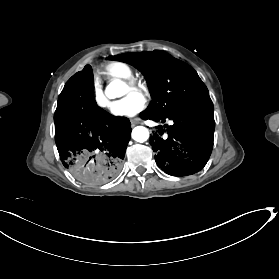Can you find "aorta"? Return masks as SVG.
<instances>
[{
	"label": "aorta",
	"instance_id": "762f6f07",
	"mask_svg": "<svg viewBox=\"0 0 279 279\" xmlns=\"http://www.w3.org/2000/svg\"><path fill=\"white\" fill-rule=\"evenodd\" d=\"M126 91H127L126 84L116 79L111 81L107 85L105 89V94L108 98L114 99L123 96ZM131 136L136 142L143 143L147 141V139L149 138V131L146 127L137 126L132 130Z\"/></svg>",
	"mask_w": 279,
	"mask_h": 279
}]
</instances>
